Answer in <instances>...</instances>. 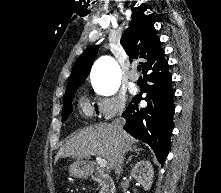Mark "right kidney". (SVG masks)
Listing matches in <instances>:
<instances>
[{
    "label": "right kidney",
    "mask_w": 221,
    "mask_h": 193,
    "mask_svg": "<svg viewBox=\"0 0 221 193\" xmlns=\"http://www.w3.org/2000/svg\"><path fill=\"white\" fill-rule=\"evenodd\" d=\"M131 176L141 185L145 191L150 190L154 171L148 160H140L131 170Z\"/></svg>",
    "instance_id": "obj_1"
}]
</instances>
